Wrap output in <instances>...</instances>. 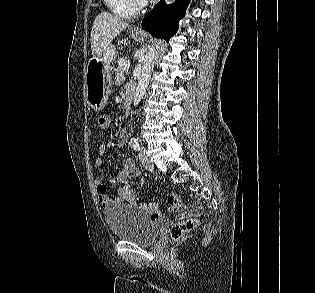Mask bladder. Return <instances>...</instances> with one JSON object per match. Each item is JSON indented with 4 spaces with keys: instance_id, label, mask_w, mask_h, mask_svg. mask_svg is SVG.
<instances>
[{
    "instance_id": "obj_1",
    "label": "bladder",
    "mask_w": 315,
    "mask_h": 293,
    "mask_svg": "<svg viewBox=\"0 0 315 293\" xmlns=\"http://www.w3.org/2000/svg\"><path fill=\"white\" fill-rule=\"evenodd\" d=\"M106 223L115 239L140 245L153 244L160 235L146 211L130 204H116L105 210Z\"/></svg>"
}]
</instances>
